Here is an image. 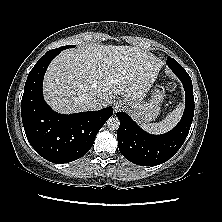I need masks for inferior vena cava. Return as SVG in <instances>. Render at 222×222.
<instances>
[{
	"instance_id": "1",
	"label": "inferior vena cava",
	"mask_w": 222,
	"mask_h": 222,
	"mask_svg": "<svg viewBox=\"0 0 222 222\" xmlns=\"http://www.w3.org/2000/svg\"><path fill=\"white\" fill-rule=\"evenodd\" d=\"M83 102L88 110H97L100 108V102L96 97H86Z\"/></svg>"
}]
</instances>
